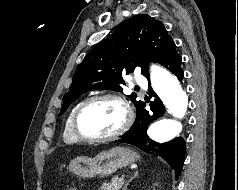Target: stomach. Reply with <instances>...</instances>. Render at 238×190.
<instances>
[{"label": "stomach", "instance_id": "stomach-1", "mask_svg": "<svg viewBox=\"0 0 238 190\" xmlns=\"http://www.w3.org/2000/svg\"><path fill=\"white\" fill-rule=\"evenodd\" d=\"M140 159L133 150L125 147H114L97 154L94 158L80 156L69 164L70 171L83 179L107 177L118 168L126 167Z\"/></svg>", "mask_w": 238, "mask_h": 190}]
</instances>
